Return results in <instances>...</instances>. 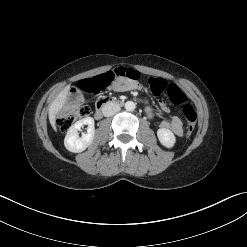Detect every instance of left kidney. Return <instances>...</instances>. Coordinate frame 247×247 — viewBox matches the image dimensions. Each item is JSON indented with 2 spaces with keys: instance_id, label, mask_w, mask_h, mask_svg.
Masks as SVG:
<instances>
[{
  "instance_id": "obj_1",
  "label": "left kidney",
  "mask_w": 247,
  "mask_h": 247,
  "mask_svg": "<svg viewBox=\"0 0 247 247\" xmlns=\"http://www.w3.org/2000/svg\"><path fill=\"white\" fill-rule=\"evenodd\" d=\"M157 136L160 143L167 148H172L176 142L175 135L169 129H158Z\"/></svg>"
}]
</instances>
